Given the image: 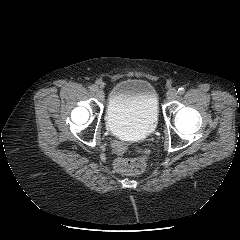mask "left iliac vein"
Returning a JSON list of instances; mask_svg holds the SVG:
<instances>
[{"label": "left iliac vein", "instance_id": "left-iliac-vein-1", "mask_svg": "<svg viewBox=\"0 0 240 240\" xmlns=\"http://www.w3.org/2000/svg\"><path fill=\"white\" fill-rule=\"evenodd\" d=\"M177 95H178L177 90L175 88H171L167 92V99L174 100V99H176Z\"/></svg>", "mask_w": 240, "mask_h": 240}]
</instances>
